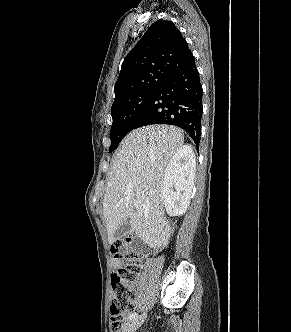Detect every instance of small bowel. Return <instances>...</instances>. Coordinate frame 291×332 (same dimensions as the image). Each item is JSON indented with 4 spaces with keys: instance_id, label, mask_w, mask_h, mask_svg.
<instances>
[{
    "instance_id": "obj_1",
    "label": "small bowel",
    "mask_w": 291,
    "mask_h": 332,
    "mask_svg": "<svg viewBox=\"0 0 291 332\" xmlns=\"http://www.w3.org/2000/svg\"><path fill=\"white\" fill-rule=\"evenodd\" d=\"M112 263H113V266H115V267H118L121 264L120 260L116 257L114 258Z\"/></svg>"
}]
</instances>
